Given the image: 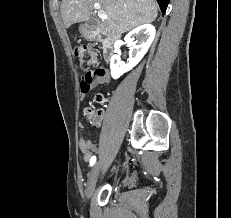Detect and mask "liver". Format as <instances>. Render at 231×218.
<instances>
[{"label":"liver","instance_id":"6515ba94","mask_svg":"<svg viewBox=\"0 0 231 218\" xmlns=\"http://www.w3.org/2000/svg\"><path fill=\"white\" fill-rule=\"evenodd\" d=\"M94 3H99L102 13L107 15L98 25L100 32L112 38L151 23L158 15L155 0H62L61 16L65 28L89 20Z\"/></svg>","mask_w":231,"mask_h":218}]
</instances>
